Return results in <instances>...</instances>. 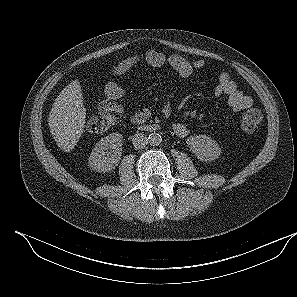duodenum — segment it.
Listing matches in <instances>:
<instances>
[{
	"instance_id": "410a0bca",
	"label": "duodenum",
	"mask_w": 297,
	"mask_h": 297,
	"mask_svg": "<svg viewBox=\"0 0 297 297\" xmlns=\"http://www.w3.org/2000/svg\"><path fill=\"white\" fill-rule=\"evenodd\" d=\"M141 129L145 132H153V131L159 130L160 126L157 124H148V125H143Z\"/></svg>"
}]
</instances>
